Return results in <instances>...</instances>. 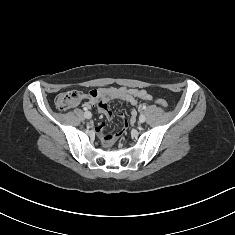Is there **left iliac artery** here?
<instances>
[{"label": "left iliac artery", "mask_w": 235, "mask_h": 235, "mask_svg": "<svg viewBox=\"0 0 235 235\" xmlns=\"http://www.w3.org/2000/svg\"><path fill=\"white\" fill-rule=\"evenodd\" d=\"M142 109H146V106H145V105H143V106H142Z\"/></svg>", "instance_id": "44dca946"}]
</instances>
